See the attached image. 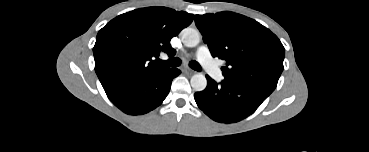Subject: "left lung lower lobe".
Instances as JSON below:
<instances>
[{"label": "left lung lower lobe", "mask_w": 369, "mask_h": 152, "mask_svg": "<svg viewBox=\"0 0 369 152\" xmlns=\"http://www.w3.org/2000/svg\"><path fill=\"white\" fill-rule=\"evenodd\" d=\"M207 87L194 95L198 107L211 119L221 123H235L251 115L270 93L253 86L222 81L208 75Z\"/></svg>", "instance_id": "obj_1"}]
</instances>
